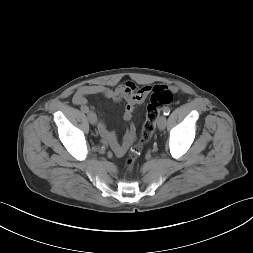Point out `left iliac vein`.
Wrapping results in <instances>:
<instances>
[{"mask_svg": "<svg viewBox=\"0 0 253 253\" xmlns=\"http://www.w3.org/2000/svg\"><path fill=\"white\" fill-rule=\"evenodd\" d=\"M166 117L164 115L160 116L157 122L158 128L160 130H164V128L166 127Z\"/></svg>", "mask_w": 253, "mask_h": 253, "instance_id": "4c4485c4", "label": "left iliac vein"}]
</instances>
